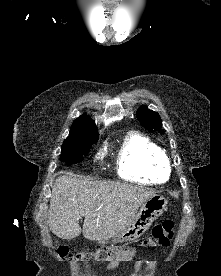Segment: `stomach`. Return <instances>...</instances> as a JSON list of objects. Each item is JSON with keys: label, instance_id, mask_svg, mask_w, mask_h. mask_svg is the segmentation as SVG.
I'll list each match as a JSON object with an SVG mask.
<instances>
[{"label": "stomach", "instance_id": "obj_1", "mask_svg": "<svg viewBox=\"0 0 221 276\" xmlns=\"http://www.w3.org/2000/svg\"><path fill=\"white\" fill-rule=\"evenodd\" d=\"M167 209V200L159 195H155L145 201L132 221L127 225L126 229L112 237V243H125L138 239L151 226L155 219L163 214ZM101 244L109 243L103 240Z\"/></svg>", "mask_w": 221, "mask_h": 276}]
</instances>
